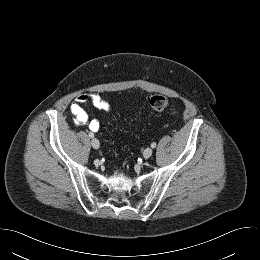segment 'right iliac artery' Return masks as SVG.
Listing matches in <instances>:
<instances>
[{"label":"right iliac artery","instance_id":"82829eb1","mask_svg":"<svg viewBox=\"0 0 260 260\" xmlns=\"http://www.w3.org/2000/svg\"><path fill=\"white\" fill-rule=\"evenodd\" d=\"M89 137L90 138H93L94 137V134L92 132L89 133Z\"/></svg>","mask_w":260,"mask_h":260}]
</instances>
